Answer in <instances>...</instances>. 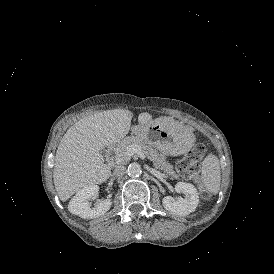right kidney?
<instances>
[{
  "mask_svg": "<svg viewBox=\"0 0 274 274\" xmlns=\"http://www.w3.org/2000/svg\"><path fill=\"white\" fill-rule=\"evenodd\" d=\"M99 193L97 184H88L81 188L68 204V210L84 219L97 218L105 213L111 205L110 200H101L91 208L89 200Z\"/></svg>",
  "mask_w": 274,
  "mask_h": 274,
  "instance_id": "obj_1",
  "label": "right kidney"
}]
</instances>
